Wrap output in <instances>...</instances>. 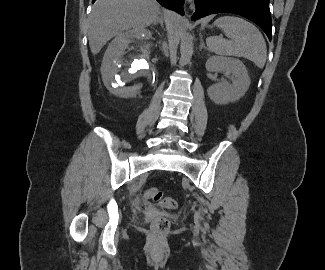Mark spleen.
Listing matches in <instances>:
<instances>
[{
  "label": "spleen",
  "mask_w": 325,
  "mask_h": 270,
  "mask_svg": "<svg viewBox=\"0 0 325 270\" xmlns=\"http://www.w3.org/2000/svg\"><path fill=\"white\" fill-rule=\"evenodd\" d=\"M228 39L208 37L209 51L218 55L244 57L262 69L266 63L267 46L259 29L252 23L236 16H222L215 23Z\"/></svg>",
  "instance_id": "3e777b00"
}]
</instances>
